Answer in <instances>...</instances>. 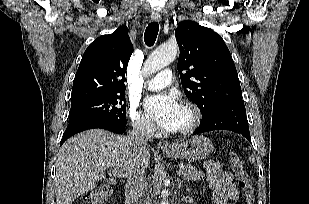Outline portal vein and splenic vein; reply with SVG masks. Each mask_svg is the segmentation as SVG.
I'll list each match as a JSON object with an SVG mask.
<instances>
[{
    "instance_id": "obj_1",
    "label": "portal vein and splenic vein",
    "mask_w": 309,
    "mask_h": 204,
    "mask_svg": "<svg viewBox=\"0 0 309 204\" xmlns=\"http://www.w3.org/2000/svg\"><path fill=\"white\" fill-rule=\"evenodd\" d=\"M182 174V171L181 170H178L177 171V175H181ZM114 175H116L117 177H119V178H121V177H124V174H123V172H121V171H115L114 172Z\"/></svg>"
}]
</instances>
